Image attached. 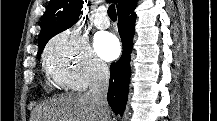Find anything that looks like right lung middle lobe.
<instances>
[{
	"label": "right lung middle lobe",
	"instance_id": "right-lung-middle-lobe-1",
	"mask_svg": "<svg viewBox=\"0 0 217 121\" xmlns=\"http://www.w3.org/2000/svg\"><path fill=\"white\" fill-rule=\"evenodd\" d=\"M42 51L43 50L38 51V53H37L38 58H40V55H41Z\"/></svg>",
	"mask_w": 217,
	"mask_h": 121
}]
</instances>
